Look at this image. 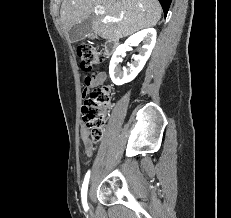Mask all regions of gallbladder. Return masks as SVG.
<instances>
[{
  "instance_id": "1",
  "label": "gallbladder",
  "mask_w": 231,
  "mask_h": 218,
  "mask_svg": "<svg viewBox=\"0 0 231 218\" xmlns=\"http://www.w3.org/2000/svg\"><path fill=\"white\" fill-rule=\"evenodd\" d=\"M92 18L88 17L79 23L74 24L68 30V38L72 43L84 39L92 29Z\"/></svg>"
}]
</instances>
